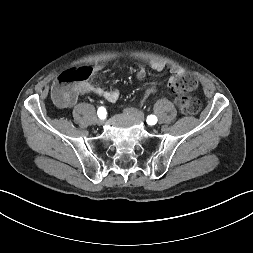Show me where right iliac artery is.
Returning a JSON list of instances; mask_svg holds the SVG:
<instances>
[{
	"label": "right iliac artery",
	"mask_w": 253,
	"mask_h": 253,
	"mask_svg": "<svg viewBox=\"0 0 253 253\" xmlns=\"http://www.w3.org/2000/svg\"><path fill=\"white\" fill-rule=\"evenodd\" d=\"M97 113H98V116H99L100 119H105L106 118L107 112H106L105 107H103V106L99 107Z\"/></svg>",
	"instance_id": "82829eb1"
}]
</instances>
